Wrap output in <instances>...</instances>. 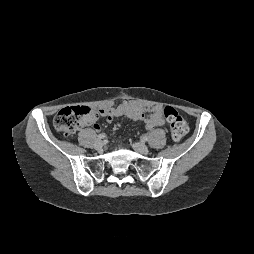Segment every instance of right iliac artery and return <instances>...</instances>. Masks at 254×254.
<instances>
[{"label":"right iliac artery","instance_id":"obj_1","mask_svg":"<svg viewBox=\"0 0 254 254\" xmlns=\"http://www.w3.org/2000/svg\"><path fill=\"white\" fill-rule=\"evenodd\" d=\"M104 138H105V134L104 133L98 135V139H104Z\"/></svg>","mask_w":254,"mask_h":254}]
</instances>
